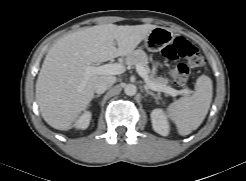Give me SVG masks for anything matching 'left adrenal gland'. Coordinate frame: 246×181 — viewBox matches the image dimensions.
Instances as JSON below:
<instances>
[{
	"label": "left adrenal gland",
	"instance_id": "a2214340",
	"mask_svg": "<svg viewBox=\"0 0 246 181\" xmlns=\"http://www.w3.org/2000/svg\"><path fill=\"white\" fill-rule=\"evenodd\" d=\"M144 90H145V92H146L147 95H151V96H153L155 99H157L156 95H155L152 91H150L148 88H145Z\"/></svg>",
	"mask_w": 246,
	"mask_h": 181
}]
</instances>
